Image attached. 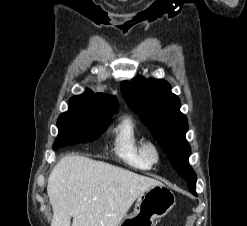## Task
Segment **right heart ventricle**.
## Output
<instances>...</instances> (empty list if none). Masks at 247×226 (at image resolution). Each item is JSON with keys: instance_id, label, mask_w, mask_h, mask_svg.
<instances>
[{"instance_id": "e07e8e85", "label": "right heart ventricle", "mask_w": 247, "mask_h": 226, "mask_svg": "<svg viewBox=\"0 0 247 226\" xmlns=\"http://www.w3.org/2000/svg\"><path fill=\"white\" fill-rule=\"evenodd\" d=\"M114 151L130 166L147 170L152 167L145 153V142L130 117L123 118L114 129Z\"/></svg>"}]
</instances>
